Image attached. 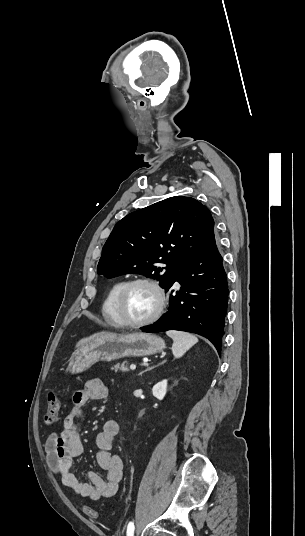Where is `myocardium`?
<instances>
[{
	"label": "myocardium",
	"mask_w": 305,
	"mask_h": 536,
	"mask_svg": "<svg viewBox=\"0 0 305 536\" xmlns=\"http://www.w3.org/2000/svg\"><path fill=\"white\" fill-rule=\"evenodd\" d=\"M137 284H146L155 290L157 297H158V306L156 310L145 319L131 322L125 319L123 304H124V298L128 290L132 286L137 285ZM115 304H116L117 315L121 320V326L126 327V328H140V327H144L152 323L153 321H155L162 315L167 304V299H166V295L162 286L157 280L151 277L142 276V277L132 278L124 283V285L121 287V289L118 292Z\"/></svg>",
	"instance_id": "f54148a6"
}]
</instances>
